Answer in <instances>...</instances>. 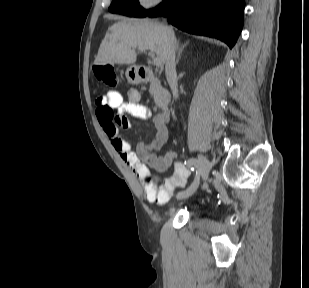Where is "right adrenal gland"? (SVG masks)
Here are the masks:
<instances>
[{
	"mask_svg": "<svg viewBox=\"0 0 309 288\" xmlns=\"http://www.w3.org/2000/svg\"><path fill=\"white\" fill-rule=\"evenodd\" d=\"M188 43H189V41H187L183 45H180L179 42H177V52H178V55H177V59H176V64H178L179 59L181 57V54H182L184 48L188 45Z\"/></svg>",
	"mask_w": 309,
	"mask_h": 288,
	"instance_id": "1",
	"label": "right adrenal gland"
}]
</instances>
